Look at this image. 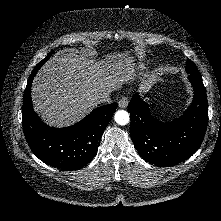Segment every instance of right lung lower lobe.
Instances as JSON below:
<instances>
[{"mask_svg": "<svg viewBox=\"0 0 221 221\" xmlns=\"http://www.w3.org/2000/svg\"><path fill=\"white\" fill-rule=\"evenodd\" d=\"M36 73H31L23 98L22 125L26 141L34 155L44 163L62 170L80 169L95 157L117 104L98 107L73 126L50 127L33 110L31 86Z\"/></svg>", "mask_w": 221, "mask_h": 221, "instance_id": "obj_1", "label": "right lung lower lobe"}]
</instances>
